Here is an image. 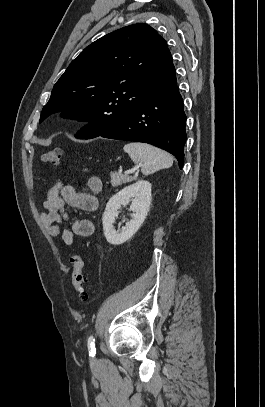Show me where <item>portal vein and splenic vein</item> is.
<instances>
[{"label": "portal vein and splenic vein", "mask_w": 265, "mask_h": 407, "mask_svg": "<svg viewBox=\"0 0 265 407\" xmlns=\"http://www.w3.org/2000/svg\"><path fill=\"white\" fill-rule=\"evenodd\" d=\"M137 169H138V167H135L134 169L128 170L125 173L126 174L134 173Z\"/></svg>", "instance_id": "portal-vein-and-splenic-vein-1"}]
</instances>
